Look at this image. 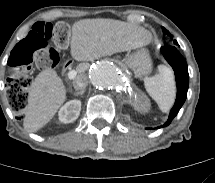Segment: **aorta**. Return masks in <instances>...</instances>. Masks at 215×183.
I'll use <instances>...</instances> for the list:
<instances>
[{
    "label": "aorta",
    "instance_id": "1",
    "mask_svg": "<svg viewBox=\"0 0 215 183\" xmlns=\"http://www.w3.org/2000/svg\"><path fill=\"white\" fill-rule=\"evenodd\" d=\"M91 84L99 90L130 92V85H123L118 67L110 62H99L89 72Z\"/></svg>",
    "mask_w": 215,
    "mask_h": 183
}]
</instances>
